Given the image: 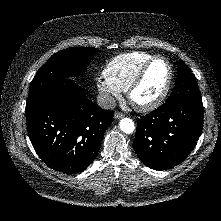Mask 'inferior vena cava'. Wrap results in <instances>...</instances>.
<instances>
[{
  "mask_svg": "<svg viewBox=\"0 0 221 221\" xmlns=\"http://www.w3.org/2000/svg\"><path fill=\"white\" fill-rule=\"evenodd\" d=\"M97 104L104 110H112L116 107V100L108 92H100L97 96Z\"/></svg>",
  "mask_w": 221,
  "mask_h": 221,
  "instance_id": "obj_1",
  "label": "inferior vena cava"
}]
</instances>
